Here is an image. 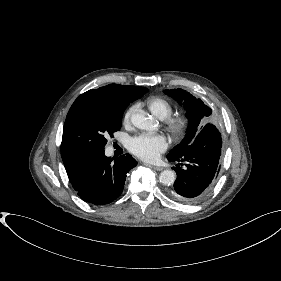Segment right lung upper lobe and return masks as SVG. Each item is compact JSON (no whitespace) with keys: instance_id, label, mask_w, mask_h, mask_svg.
<instances>
[{"instance_id":"1","label":"right lung upper lobe","mask_w":281,"mask_h":281,"mask_svg":"<svg viewBox=\"0 0 281 281\" xmlns=\"http://www.w3.org/2000/svg\"><path fill=\"white\" fill-rule=\"evenodd\" d=\"M148 89L144 87L110 84L89 92L101 99L118 104H127L135 101L145 94Z\"/></svg>"}]
</instances>
